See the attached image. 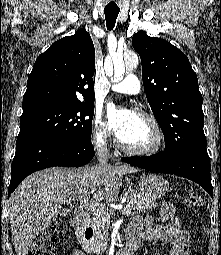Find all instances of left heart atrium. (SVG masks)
Masks as SVG:
<instances>
[{"mask_svg": "<svg viewBox=\"0 0 221 255\" xmlns=\"http://www.w3.org/2000/svg\"><path fill=\"white\" fill-rule=\"evenodd\" d=\"M107 118L110 129L118 135L128 124L131 112L126 109L110 106L107 109Z\"/></svg>", "mask_w": 221, "mask_h": 255, "instance_id": "39dd6f15", "label": "left heart atrium"}]
</instances>
